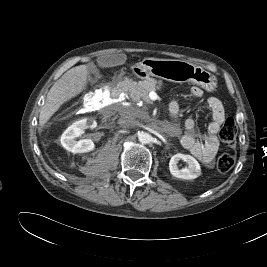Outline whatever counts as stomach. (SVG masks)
<instances>
[{
    "mask_svg": "<svg viewBox=\"0 0 267 267\" xmlns=\"http://www.w3.org/2000/svg\"><path fill=\"white\" fill-rule=\"evenodd\" d=\"M136 68L137 76L141 79L154 76L172 82H188L207 91H213L217 85L212 73L184 60L145 58Z\"/></svg>",
    "mask_w": 267,
    "mask_h": 267,
    "instance_id": "stomach-1",
    "label": "stomach"
}]
</instances>
